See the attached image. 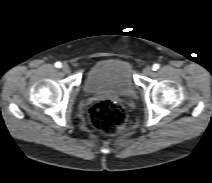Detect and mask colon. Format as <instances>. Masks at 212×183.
<instances>
[{"label":"colon","instance_id":"obj_1","mask_svg":"<svg viewBox=\"0 0 212 183\" xmlns=\"http://www.w3.org/2000/svg\"><path fill=\"white\" fill-rule=\"evenodd\" d=\"M92 125L107 135H117L132 125L125 109L110 99L97 100L89 110Z\"/></svg>","mask_w":212,"mask_h":183}]
</instances>
